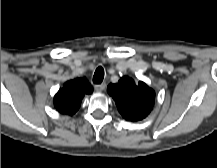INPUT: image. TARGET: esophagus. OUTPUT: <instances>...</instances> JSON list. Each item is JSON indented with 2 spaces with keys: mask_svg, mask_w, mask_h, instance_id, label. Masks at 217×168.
I'll list each match as a JSON object with an SVG mask.
<instances>
[{
  "mask_svg": "<svg viewBox=\"0 0 217 168\" xmlns=\"http://www.w3.org/2000/svg\"><path fill=\"white\" fill-rule=\"evenodd\" d=\"M106 87V84L105 83H101V84H96L94 86V89L97 91V92H102Z\"/></svg>",
  "mask_w": 217,
  "mask_h": 168,
  "instance_id": "obj_1",
  "label": "esophagus"
}]
</instances>
